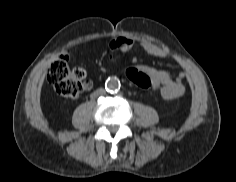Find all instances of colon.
<instances>
[{"label": "colon", "instance_id": "1", "mask_svg": "<svg viewBox=\"0 0 236 182\" xmlns=\"http://www.w3.org/2000/svg\"><path fill=\"white\" fill-rule=\"evenodd\" d=\"M128 80L136 87L148 89L152 81L148 73L138 67H131L126 70ZM85 71L75 67L70 69L62 60L52 62L47 70V80L54 90L66 98L78 96L84 89Z\"/></svg>", "mask_w": 236, "mask_h": 182}]
</instances>
